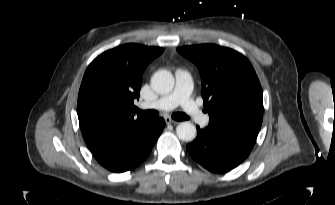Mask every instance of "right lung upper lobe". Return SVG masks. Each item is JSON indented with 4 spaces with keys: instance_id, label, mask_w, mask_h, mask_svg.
Segmentation results:
<instances>
[{
    "instance_id": "1",
    "label": "right lung upper lobe",
    "mask_w": 335,
    "mask_h": 205,
    "mask_svg": "<svg viewBox=\"0 0 335 205\" xmlns=\"http://www.w3.org/2000/svg\"><path fill=\"white\" fill-rule=\"evenodd\" d=\"M163 51L130 43L102 53L88 66L77 113L93 154L127 147L154 127L155 119L135 116L134 102L139 99L145 67Z\"/></svg>"
}]
</instances>
